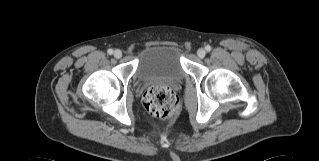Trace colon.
<instances>
[{"mask_svg": "<svg viewBox=\"0 0 319 161\" xmlns=\"http://www.w3.org/2000/svg\"><path fill=\"white\" fill-rule=\"evenodd\" d=\"M146 112L158 120L174 117L179 110V100L174 91L167 86H152L143 96Z\"/></svg>", "mask_w": 319, "mask_h": 161, "instance_id": "colon-1", "label": "colon"}]
</instances>
